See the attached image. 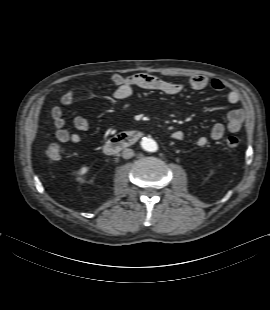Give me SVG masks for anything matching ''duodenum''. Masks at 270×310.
Here are the masks:
<instances>
[{"instance_id": "410a0bca", "label": "duodenum", "mask_w": 270, "mask_h": 310, "mask_svg": "<svg viewBox=\"0 0 270 310\" xmlns=\"http://www.w3.org/2000/svg\"><path fill=\"white\" fill-rule=\"evenodd\" d=\"M142 136L140 131H129L119 133L109 138L103 146L104 152L107 154H116L121 150L128 148L135 144Z\"/></svg>"}]
</instances>
